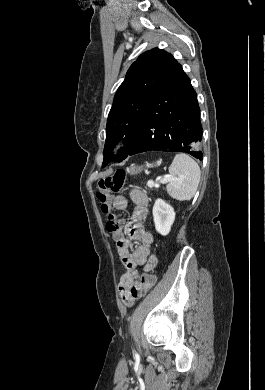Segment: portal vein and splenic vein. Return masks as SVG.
Returning a JSON list of instances; mask_svg holds the SVG:
<instances>
[{"label": "portal vein and splenic vein", "mask_w": 265, "mask_h": 390, "mask_svg": "<svg viewBox=\"0 0 265 390\" xmlns=\"http://www.w3.org/2000/svg\"><path fill=\"white\" fill-rule=\"evenodd\" d=\"M171 180H173V177L172 176H164V178H162L161 180H160V183H163V184H165V183H167V182H170ZM148 184L149 185H151V186H155V187H158L159 186V184H157V183H155L154 184V182L152 181V180H149L148 181Z\"/></svg>", "instance_id": "portal-vein-and-splenic-vein-1"}]
</instances>
